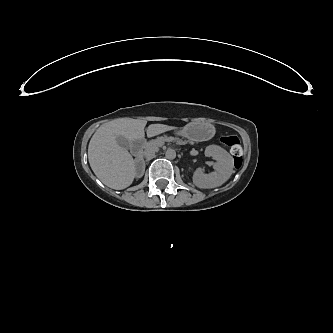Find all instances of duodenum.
I'll return each instance as SVG.
<instances>
[{
  "instance_id": "duodenum-1",
  "label": "duodenum",
  "mask_w": 333,
  "mask_h": 333,
  "mask_svg": "<svg viewBox=\"0 0 333 333\" xmlns=\"http://www.w3.org/2000/svg\"><path fill=\"white\" fill-rule=\"evenodd\" d=\"M143 145H144V142H141V147H143Z\"/></svg>"
}]
</instances>
